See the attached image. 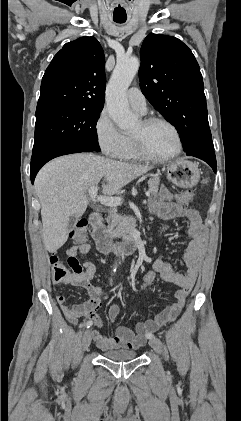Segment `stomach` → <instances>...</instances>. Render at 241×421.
I'll return each instance as SVG.
<instances>
[{"mask_svg":"<svg viewBox=\"0 0 241 421\" xmlns=\"http://www.w3.org/2000/svg\"><path fill=\"white\" fill-rule=\"evenodd\" d=\"M167 178L177 186L188 188L200 179L198 166L188 160H177L167 167Z\"/></svg>","mask_w":241,"mask_h":421,"instance_id":"stomach-1","label":"stomach"}]
</instances>
